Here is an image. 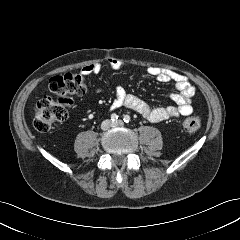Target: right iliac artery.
Wrapping results in <instances>:
<instances>
[{
	"label": "right iliac artery",
	"mask_w": 240,
	"mask_h": 240,
	"mask_svg": "<svg viewBox=\"0 0 240 240\" xmlns=\"http://www.w3.org/2000/svg\"><path fill=\"white\" fill-rule=\"evenodd\" d=\"M117 119H118V115L115 114V113H113V114L111 115V120H112V121H116Z\"/></svg>",
	"instance_id": "82829eb1"
}]
</instances>
